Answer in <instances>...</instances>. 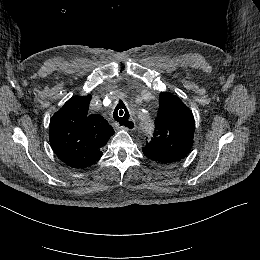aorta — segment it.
Here are the masks:
<instances>
[{"instance_id": "aorta-1", "label": "aorta", "mask_w": 260, "mask_h": 260, "mask_svg": "<svg viewBox=\"0 0 260 260\" xmlns=\"http://www.w3.org/2000/svg\"><path fill=\"white\" fill-rule=\"evenodd\" d=\"M142 124L146 132H151L153 130V122L151 120L145 119Z\"/></svg>"}]
</instances>
